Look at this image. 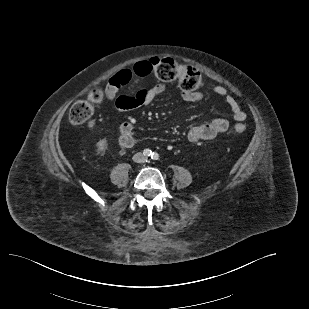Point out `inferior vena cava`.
Segmentation results:
<instances>
[{
  "label": "inferior vena cava",
  "instance_id": "obj_1",
  "mask_svg": "<svg viewBox=\"0 0 309 309\" xmlns=\"http://www.w3.org/2000/svg\"><path fill=\"white\" fill-rule=\"evenodd\" d=\"M133 160L137 163H144L147 161V158L142 153H137L133 156Z\"/></svg>",
  "mask_w": 309,
  "mask_h": 309
}]
</instances>
